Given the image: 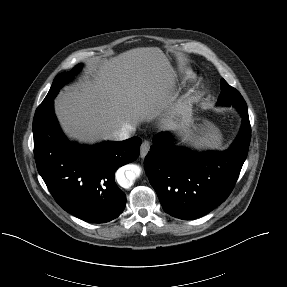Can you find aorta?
I'll use <instances>...</instances> for the list:
<instances>
[{
    "label": "aorta",
    "instance_id": "obj_1",
    "mask_svg": "<svg viewBox=\"0 0 287 287\" xmlns=\"http://www.w3.org/2000/svg\"><path fill=\"white\" fill-rule=\"evenodd\" d=\"M119 180L124 187H128L133 184V180H134L133 173L128 172L127 178L121 177L119 178Z\"/></svg>",
    "mask_w": 287,
    "mask_h": 287
}]
</instances>
